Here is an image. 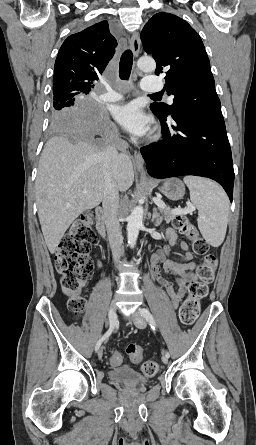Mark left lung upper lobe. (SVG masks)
I'll return each mask as SVG.
<instances>
[{
    "instance_id": "left-lung-upper-lobe-1",
    "label": "left lung upper lobe",
    "mask_w": 256,
    "mask_h": 445,
    "mask_svg": "<svg viewBox=\"0 0 256 445\" xmlns=\"http://www.w3.org/2000/svg\"><path fill=\"white\" fill-rule=\"evenodd\" d=\"M141 40L157 63L155 73L165 71V89L174 95L172 105L152 103L153 112L166 118L181 106L221 111L203 42L186 21L157 13L144 26Z\"/></svg>"
}]
</instances>
